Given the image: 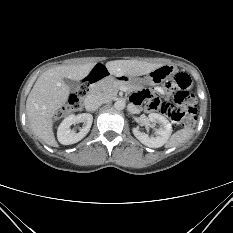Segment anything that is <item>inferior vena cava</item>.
<instances>
[{"label": "inferior vena cava", "instance_id": "1", "mask_svg": "<svg viewBox=\"0 0 233 233\" xmlns=\"http://www.w3.org/2000/svg\"><path fill=\"white\" fill-rule=\"evenodd\" d=\"M106 102V98L101 94H89L84 101L85 108L94 111Z\"/></svg>", "mask_w": 233, "mask_h": 233}]
</instances>
